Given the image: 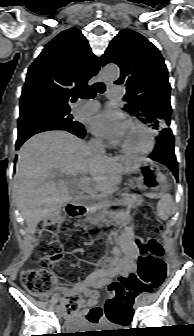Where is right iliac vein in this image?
Wrapping results in <instances>:
<instances>
[{"label":"right iliac vein","instance_id":"obj_1","mask_svg":"<svg viewBox=\"0 0 194 336\" xmlns=\"http://www.w3.org/2000/svg\"><path fill=\"white\" fill-rule=\"evenodd\" d=\"M58 313L61 315L63 313V307H58Z\"/></svg>","mask_w":194,"mask_h":336}]
</instances>
